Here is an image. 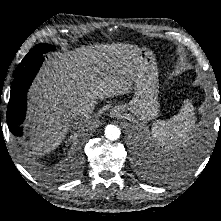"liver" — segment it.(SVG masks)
I'll return each instance as SVG.
<instances>
[{
    "mask_svg": "<svg viewBox=\"0 0 221 221\" xmlns=\"http://www.w3.org/2000/svg\"><path fill=\"white\" fill-rule=\"evenodd\" d=\"M140 52L135 45L105 44L48 55L29 94L27 126L33 153L43 155L60 145L79 102L95 104L128 93Z\"/></svg>",
    "mask_w": 221,
    "mask_h": 221,
    "instance_id": "6515ba94",
    "label": "liver"
}]
</instances>
